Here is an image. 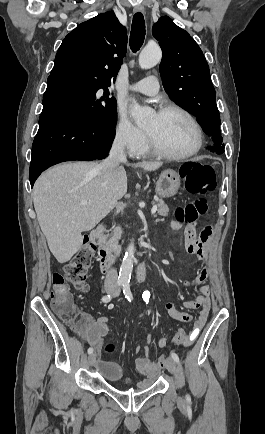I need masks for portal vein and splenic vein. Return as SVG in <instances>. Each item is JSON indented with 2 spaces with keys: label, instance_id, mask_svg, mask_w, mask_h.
I'll use <instances>...</instances> for the list:
<instances>
[{
  "label": "portal vein and splenic vein",
  "instance_id": "obj_1",
  "mask_svg": "<svg viewBox=\"0 0 265 434\" xmlns=\"http://www.w3.org/2000/svg\"><path fill=\"white\" fill-rule=\"evenodd\" d=\"M81 204H83V206H86L87 200H81ZM156 212H157V206H153L151 210V214H156Z\"/></svg>",
  "mask_w": 265,
  "mask_h": 434
}]
</instances>
